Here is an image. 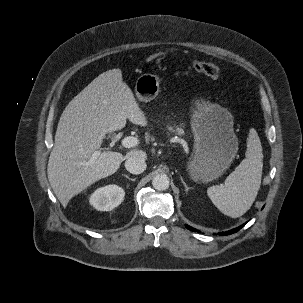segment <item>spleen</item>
<instances>
[{"label":"spleen","instance_id":"3e777b00","mask_svg":"<svg viewBox=\"0 0 303 303\" xmlns=\"http://www.w3.org/2000/svg\"><path fill=\"white\" fill-rule=\"evenodd\" d=\"M263 153L254 128L247 138L246 157L226 178L224 185L211 186L207 194L213 204L225 215L237 218L252 206L260 188Z\"/></svg>","mask_w":303,"mask_h":303}]
</instances>
